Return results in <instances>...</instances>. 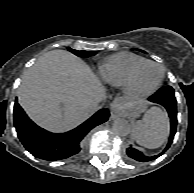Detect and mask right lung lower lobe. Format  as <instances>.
<instances>
[{
	"label": "right lung lower lobe",
	"instance_id": "obj_1",
	"mask_svg": "<svg viewBox=\"0 0 194 193\" xmlns=\"http://www.w3.org/2000/svg\"><path fill=\"white\" fill-rule=\"evenodd\" d=\"M108 117L109 111L102 109L74 130L54 134L32 122L17 101L14 105V125L20 141L33 156L48 161L66 159L77 154L87 133L106 122Z\"/></svg>",
	"mask_w": 194,
	"mask_h": 193
}]
</instances>
